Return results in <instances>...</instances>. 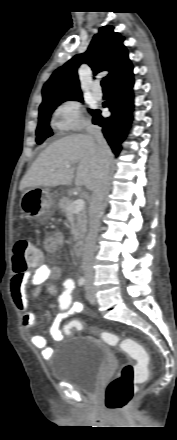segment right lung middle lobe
<instances>
[{"instance_id":"right-lung-middle-lobe-1","label":"right lung middle lobe","mask_w":177,"mask_h":440,"mask_svg":"<svg viewBox=\"0 0 177 440\" xmlns=\"http://www.w3.org/2000/svg\"><path fill=\"white\" fill-rule=\"evenodd\" d=\"M67 100H75V101L83 102L82 96H79V97H73V98H69V99H64V100L40 105L38 126L36 129V135H37L36 142L38 144H41L46 138L53 135V132L49 126L50 116L53 113V111L56 109L57 106H59L62 102L67 101Z\"/></svg>"}]
</instances>
